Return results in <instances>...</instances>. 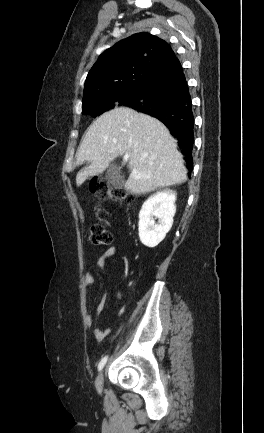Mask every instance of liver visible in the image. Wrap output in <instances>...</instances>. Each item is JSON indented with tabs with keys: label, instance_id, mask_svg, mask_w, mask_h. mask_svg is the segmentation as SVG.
<instances>
[{
	"label": "liver",
	"instance_id": "obj_1",
	"mask_svg": "<svg viewBox=\"0 0 264 433\" xmlns=\"http://www.w3.org/2000/svg\"><path fill=\"white\" fill-rule=\"evenodd\" d=\"M121 155H129L131 174L125 188L134 194H145L187 180L182 155L168 129L153 117L116 107L90 125L78 147L77 164H91L77 173V186L89 176L103 173ZM133 170L136 175H132Z\"/></svg>",
	"mask_w": 264,
	"mask_h": 433
}]
</instances>
